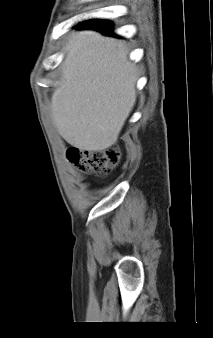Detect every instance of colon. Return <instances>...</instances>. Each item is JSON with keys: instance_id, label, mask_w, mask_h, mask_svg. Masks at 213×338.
<instances>
[{"instance_id": "1", "label": "colon", "mask_w": 213, "mask_h": 338, "mask_svg": "<svg viewBox=\"0 0 213 338\" xmlns=\"http://www.w3.org/2000/svg\"><path fill=\"white\" fill-rule=\"evenodd\" d=\"M66 157L81 171L107 175L118 163L120 154L116 148L94 151L71 147L67 150Z\"/></svg>"}]
</instances>
